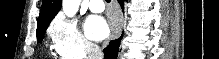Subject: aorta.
<instances>
[{
  "instance_id": "762f6f07",
  "label": "aorta",
  "mask_w": 219,
  "mask_h": 59,
  "mask_svg": "<svg viewBox=\"0 0 219 59\" xmlns=\"http://www.w3.org/2000/svg\"><path fill=\"white\" fill-rule=\"evenodd\" d=\"M81 0H63L62 1V9L66 16L73 17L80 6Z\"/></svg>"
}]
</instances>
